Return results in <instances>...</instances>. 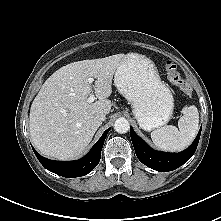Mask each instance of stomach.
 <instances>
[{"instance_id":"0dacf381","label":"stomach","mask_w":221,"mask_h":221,"mask_svg":"<svg viewBox=\"0 0 221 221\" xmlns=\"http://www.w3.org/2000/svg\"><path fill=\"white\" fill-rule=\"evenodd\" d=\"M118 91L129 101L139 126L151 131L167 124L174 109V98L159 76L154 62L144 55L128 53L114 76Z\"/></svg>"}]
</instances>
